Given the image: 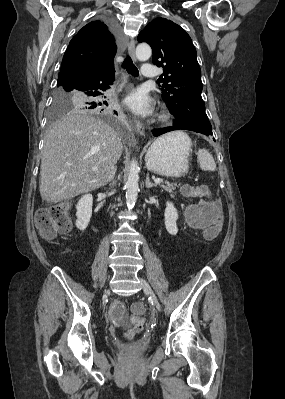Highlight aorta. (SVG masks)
<instances>
[{
	"instance_id": "obj_1",
	"label": "aorta",
	"mask_w": 285,
	"mask_h": 399,
	"mask_svg": "<svg viewBox=\"0 0 285 399\" xmlns=\"http://www.w3.org/2000/svg\"><path fill=\"white\" fill-rule=\"evenodd\" d=\"M152 50L147 43H140L136 47V57L141 60L150 58ZM139 166L137 161L132 160L126 182V204L128 209H132L136 203L139 191Z\"/></svg>"
}]
</instances>
